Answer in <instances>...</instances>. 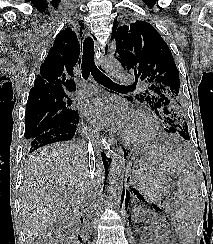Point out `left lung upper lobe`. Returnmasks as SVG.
I'll use <instances>...</instances> for the list:
<instances>
[{
    "label": "left lung upper lobe",
    "mask_w": 213,
    "mask_h": 244,
    "mask_svg": "<svg viewBox=\"0 0 213 244\" xmlns=\"http://www.w3.org/2000/svg\"><path fill=\"white\" fill-rule=\"evenodd\" d=\"M117 59L124 70L134 71L141 91L128 100L145 101L156 111L168 133L189 140L184 98L179 91V72L172 53L157 30L145 21L118 27L114 23Z\"/></svg>",
    "instance_id": "5c2ea615"
}]
</instances>
